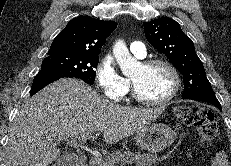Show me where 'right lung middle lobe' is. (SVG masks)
Here are the masks:
<instances>
[{"label": "right lung middle lobe", "mask_w": 231, "mask_h": 166, "mask_svg": "<svg viewBox=\"0 0 231 166\" xmlns=\"http://www.w3.org/2000/svg\"><path fill=\"white\" fill-rule=\"evenodd\" d=\"M98 62V55L53 52L48 53V56L43 60L41 70L56 71L93 84L96 76L94 69L97 68Z\"/></svg>", "instance_id": "1"}]
</instances>
